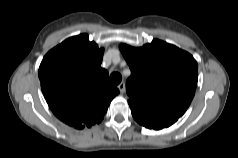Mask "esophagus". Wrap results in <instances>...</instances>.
Instances as JSON below:
<instances>
[{"mask_svg":"<svg viewBox=\"0 0 238 158\" xmlns=\"http://www.w3.org/2000/svg\"><path fill=\"white\" fill-rule=\"evenodd\" d=\"M118 89L120 91V93H124L125 92V83L124 82H121L119 85H118Z\"/></svg>","mask_w":238,"mask_h":158,"instance_id":"34e87169","label":"esophagus"}]
</instances>
